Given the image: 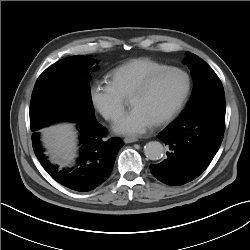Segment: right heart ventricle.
<instances>
[{
  "label": "right heart ventricle",
  "mask_w": 250,
  "mask_h": 250,
  "mask_svg": "<svg viewBox=\"0 0 250 250\" xmlns=\"http://www.w3.org/2000/svg\"><path fill=\"white\" fill-rule=\"evenodd\" d=\"M166 66L152 58L139 57L115 67L109 77L115 88L127 98L149 74Z\"/></svg>",
  "instance_id": "e07e8e85"
}]
</instances>
